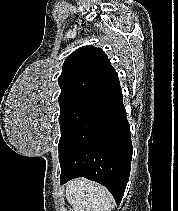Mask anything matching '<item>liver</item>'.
Wrapping results in <instances>:
<instances>
[{"mask_svg":"<svg viewBox=\"0 0 178 211\" xmlns=\"http://www.w3.org/2000/svg\"><path fill=\"white\" fill-rule=\"evenodd\" d=\"M72 211H110L113 198L100 184L84 178L69 182L65 190Z\"/></svg>","mask_w":178,"mask_h":211,"instance_id":"6515ba94","label":"liver"}]
</instances>
